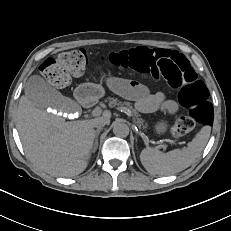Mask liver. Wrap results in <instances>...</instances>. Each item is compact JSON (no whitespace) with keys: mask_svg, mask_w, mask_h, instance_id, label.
Instances as JSON below:
<instances>
[{"mask_svg":"<svg viewBox=\"0 0 231 231\" xmlns=\"http://www.w3.org/2000/svg\"><path fill=\"white\" fill-rule=\"evenodd\" d=\"M111 112L101 117L66 122L34 106L26 96L19 101L16 121L26 155L38 168L59 177L82 173L95 139L94 122L110 123Z\"/></svg>","mask_w":231,"mask_h":231,"instance_id":"6515ba94","label":"liver"}]
</instances>
